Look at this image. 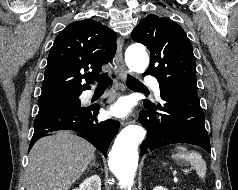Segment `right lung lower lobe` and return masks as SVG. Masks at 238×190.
<instances>
[{
  "label": "right lung lower lobe",
  "instance_id": "98d812e1",
  "mask_svg": "<svg viewBox=\"0 0 238 190\" xmlns=\"http://www.w3.org/2000/svg\"><path fill=\"white\" fill-rule=\"evenodd\" d=\"M99 106L73 107L38 114L34 121V134L29 149L45 133L57 130H73L100 150L104 156L120 124L114 120L100 122Z\"/></svg>",
  "mask_w": 238,
  "mask_h": 190
}]
</instances>
